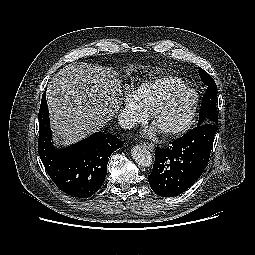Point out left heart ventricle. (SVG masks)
Listing matches in <instances>:
<instances>
[{
    "mask_svg": "<svg viewBox=\"0 0 255 255\" xmlns=\"http://www.w3.org/2000/svg\"><path fill=\"white\" fill-rule=\"evenodd\" d=\"M192 94L186 93L176 99L157 118L155 126L161 129L174 128L188 117L192 107Z\"/></svg>",
    "mask_w": 255,
    "mask_h": 255,
    "instance_id": "obj_1",
    "label": "left heart ventricle"
}]
</instances>
